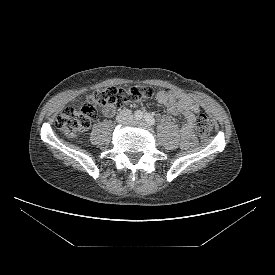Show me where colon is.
<instances>
[{"label": "colon", "instance_id": "5ec220e1", "mask_svg": "<svg viewBox=\"0 0 275 275\" xmlns=\"http://www.w3.org/2000/svg\"><path fill=\"white\" fill-rule=\"evenodd\" d=\"M153 94L154 90L149 86L101 88L93 92L80 108L68 107L59 113L55 119V125L65 137L72 138L89 127L97 115V106L109 104L123 106L149 98ZM195 128L200 138L206 139L211 131L209 118L200 114L196 119Z\"/></svg>", "mask_w": 275, "mask_h": 275}]
</instances>
